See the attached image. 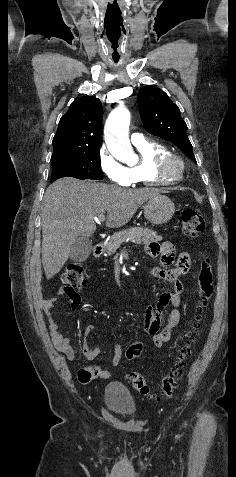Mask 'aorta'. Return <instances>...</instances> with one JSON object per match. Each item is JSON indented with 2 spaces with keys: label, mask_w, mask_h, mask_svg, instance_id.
Here are the masks:
<instances>
[{
  "label": "aorta",
  "mask_w": 236,
  "mask_h": 477,
  "mask_svg": "<svg viewBox=\"0 0 236 477\" xmlns=\"http://www.w3.org/2000/svg\"><path fill=\"white\" fill-rule=\"evenodd\" d=\"M130 119L129 110L124 106H118L111 112L104 127V138L109 150L124 161L134 157L129 140Z\"/></svg>",
  "instance_id": "762f6f07"
}]
</instances>
